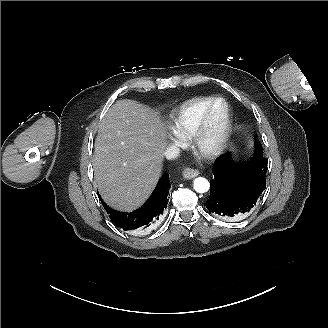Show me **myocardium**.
Instances as JSON below:
<instances>
[{"label":"myocardium","mask_w":328,"mask_h":328,"mask_svg":"<svg viewBox=\"0 0 328 328\" xmlns=\"http://www.w3.org/2000/svg\"><path fill=\"white\" fill-rule=\"evenodd\" d=\"M220 106L224 109V123L214 142L209 146L206 143L207 120ZM233 127L234 116L230 103L224 98L215 97L209 105L203 107L195 116L187 141L200 157L207 160L218 159L224 156L230 147Z\"/></svg>","instance_id":"obj_1"}]
</instances>
